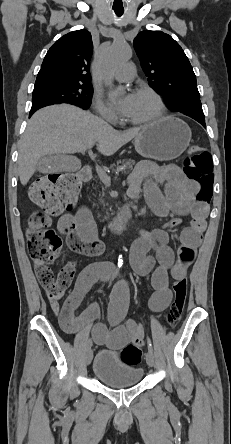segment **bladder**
Instances as JSON below:
<instances>
[{
    "label": "bladder",
    "mask_w": 231,
    "mask_h": 444,
    "mask_svg": "<svg viewBox=\"0 0 231 444\" xmlns=\"http://www.w3.org/2000/svg\"><path fill=\"white\" fill-rule=\"evenodd\" d=\"M143 373L138 363L127 361L120 353L111 350L99 351L92 365L93 376L112 388L137 385Z\"/></svg>",
    "instance_id": "bladder-1"
}]
</instances>
